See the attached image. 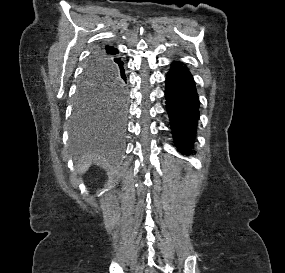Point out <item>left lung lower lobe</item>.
I'll return each mask as SVG.
<instances>
[{
  "instance_id": "obj_1",
  "label": "left lung lower lobe",
  "mask_w": 285,
  "mask_h": 273,
  "mask_svg": "<svg viewBox=\"0 0 285 273\" xmlns=\"http://www.w3.org/2000/svg\"><path fill=\"white\" fill-rule=\"evenodd\" d=\"M171 67L166 77L167 111L176 144L189 147L199 119V98L188 69L179 62L172 63Z\"/></svg>"
}]
</instances>
